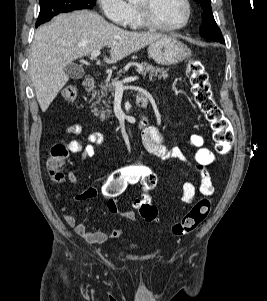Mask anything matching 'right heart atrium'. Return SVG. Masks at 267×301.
Wrapping results in <instances>:
<instances>
[{
  "mask_svg": "<svg viewBox=\"0 0 267 301\" xmlns=\"http://www.w3.org/2000/svg\"><path fill=\"white\" fill-rule=\"evenodd\" d=\"M102 13L118 26L130 24L133 8L126 0H97Z\"/></svg>",
  "mask_w": 267,
  "mask_h": 301,
  "instance_id": "d8ad5b80",
  "label": "right heart atrium"
}]
</instances>
